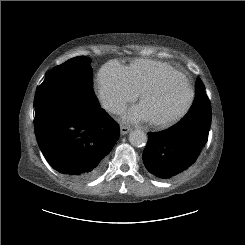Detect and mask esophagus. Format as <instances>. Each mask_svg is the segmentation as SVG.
Returning a JSON list of instances; mask_svg holds the SVG:
<instances>
[{"label": "esophagus", "instance_id": "esophagus-1", "mask_svg": "<svg viewBox=\"0 0 245 245\" xmlns=\"http://www.w3.org/2000/svg\"><path fill=\"white\" fill-rule=\"evenodd\" d=\"M132 129L126 125H121L120 126V133L121 135H126L128 134Z\"/></svg>", "mask_w": 245, "mask_h": 245}]
</instances>
